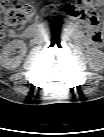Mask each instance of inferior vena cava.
I'll list each match as a JSON object with an SVG mask.
<instances>
[{"label": "inferior vena cava", "instance_id": "inferior-vena-cava-1", "mask_svg": "<svg viewBox=\"0 0 104 137\" xmlns=\"http://www.w3.org/2000/svg\"><path fill=\"white\" fill-rule=\"evenodd\" d=\"M35 40H36V42L41 43V42H43L44 37H43V35L38 34V35H36Z\"/></svg>", "mask_w": 104, "mask_h": 137}]
</instances>
